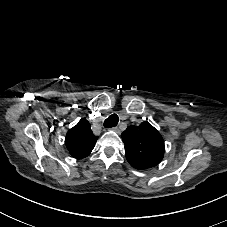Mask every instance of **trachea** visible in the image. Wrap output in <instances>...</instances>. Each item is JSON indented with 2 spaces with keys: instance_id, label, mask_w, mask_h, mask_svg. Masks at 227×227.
Wrapping results in <instances>:
<instances>
[{
  "instance_id": "trachea-1",
  "label": "trachea",
  "mask_w": 227,
  "mask_h": 227,
  "mask_svg": "<svg viewBox=\"0 0 227 227\" xmlns=\"http://www.w3.org/2000/svg\"><path fill=\"white\" fill-rule=\"evenodd\" d=\"M118 121H119L118 115L112 114L104 121V127L113 128L118 124Z\"/></svg>"
}]
</instances>
